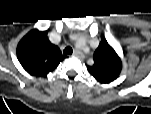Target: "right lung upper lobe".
I'll list each match as a JSON object with an SVG mask.
<instances>
[{"label": "right lung upper lobe", "mask_w": 151, "mask_h": 114, "mask_svg": "<svg viewBox=\"0 0 151 114\" xmlns=\"http://www.w3.org/2000/svg\"><path fill=\"white\" fill-rule=\"evenodd\" d=\"M17 57L22 67L30 74L45 76L64 60L60 49L52 44L47 31H31L18 43Z\"/></svg>", "instance_id": "1"}]
</instances>
